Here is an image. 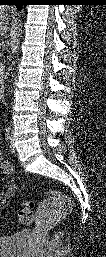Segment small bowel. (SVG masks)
<instances>
[{
	"instance_id": "c3829d8e",
	"label": "small bowel",
	"mask_w": 106,
	"mask_h": 257,
	"mask_svg": "<svg viewBox=\"0 0 106 257\" xmlns=\"http://www.w3.org/2000/svg\"><path fill=\"white\" fill-rule=\"evenodd\" d=\"M0 170L2 173H5V174H11L14 171L12 165L8 161L2 158L0 159ZM16 189H17V184L14 180H9L2 186L1 194H0L1 207L6 206L10 202L11 197L15 193Z\"/></svg>"
}]
</instances>
